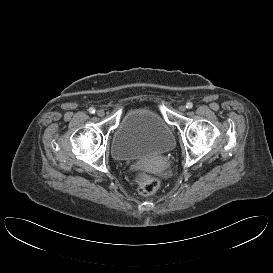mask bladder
Masks as SVG:
<instances>
[{"instance_id":"1","label":"bladder","mask_w":273,"mask_h":273,"mask_svg":"<svg viewBox=\"0 0 273 273\" xmlns=\"http://www.w3.org/2000/svg\"><path fill=\"white\" fill-rule=\"evenodd\" d=\"M175 145L173 131L158 114L132 109L123 115L113 132L110 152L116 161H141L167 154Z\"/></svg>"}]
</instances>
